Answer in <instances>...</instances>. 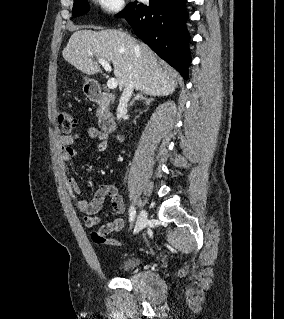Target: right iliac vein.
I'll return each instance as SVG.
<instances>
[{"instance_id": "63e3f726", "label": "right iliac vein", "mask_w": 284, "mask_h": 319, "mask_svg": "<svg viewBox=\"0 0 284 319\" xmlns=\"http://www.w3.org/2000/svg\"><path fill=\"white\" fill-rule=\"evenodd\" d=\"M147 224V211L142 209L137 217L134 233L140 232Z\"/></svg>"}]
</instances>
